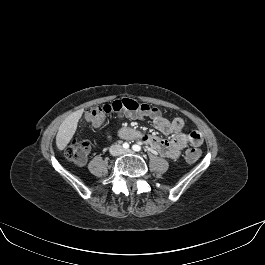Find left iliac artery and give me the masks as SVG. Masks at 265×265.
Masks as SVG:
<instances>
[{
  "label": "left iliac artery",
  "instance_id": "44dca946",
  "mask_svg": "<svg viewBox=\"0 0 265 265\" xmlns=\"http://www.w3.org/2000/svg\"><path fill=\"white\" fill-rule=\"evenodd\" d=\"M132 149H133L134 151H137V152L141 151V147H140L139 145H137V144L133 145V146H132Z\"/></svg>",
  "mask_w": 265,
  "mask_h": 265
}]
</instances>
